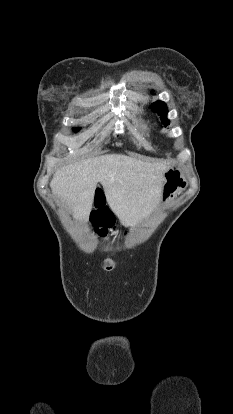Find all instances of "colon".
<instances>
[{
  "label": "colon",
  "mask_w": 233,
  "mask_h": 414,
  "mask_svg": "<svg viewBox=\"0 0 233 414\" xmlns=\"http://www.w3.org/2000/svg\"><path fill=\"white\" fill-rule=\"evenodd\" d=\"M92 223L98 228V232L102 236L107 235L108 232H114V222L110 211L99 212L96 210L92 214Z\"/></svg>",
  "instance_id": "5ec220e1"
}]
</instances>
